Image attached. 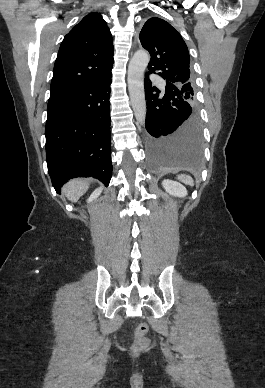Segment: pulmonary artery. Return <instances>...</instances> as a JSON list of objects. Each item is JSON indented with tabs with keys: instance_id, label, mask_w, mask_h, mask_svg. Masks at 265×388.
<instances>
[{
	"instance_id": "pulmonary-artery-1",
	"label": "pulmonary artery",
	"mask_w": 265,
	"mask_h": 388,
	"mask_svg": "<svg viewBox=\"0 0 265 388\" xmlns=\"http://www.w3.org/2000/svg\"><path fill=\"white\" fill-rule=\"evenodd\" d=\"M150 77L154 80V82H163V75H157L155 72L150 74Z\"/></svg>"
}]
</instances>
